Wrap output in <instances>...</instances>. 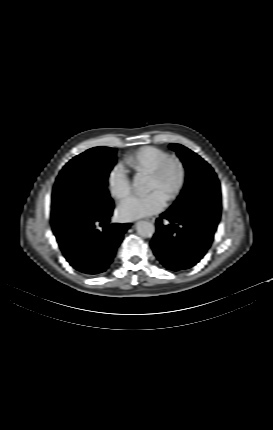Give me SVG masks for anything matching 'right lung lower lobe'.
<instances>
[{
	"mask_svg": "<svg viewBox=\"0 0 273 430\" xmlns=\"http://www.w3.org/2000/svg\"><path fill=\"white\" fill-rule=\"evenodd\" d=\"M112 210L94 219L55 233L59 247L70 265L87 276L105 272L130 224H108ZM98 226H106L102 231Z\"/></svg>",
	"mask_w": 273,
	"mask_h": 430,
	"instance_id": "obj_1",
	"label": "right lung lower lobe"
}]
</instances>
